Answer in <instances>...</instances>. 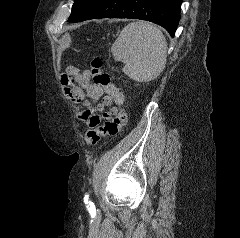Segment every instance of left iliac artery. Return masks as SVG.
I'll return each instance as SVG.
<instances>
[{"label":"left iliac artery","mask_w":240,"mask_h":238,"mask_svg":"<svg viewBox=\"0 0 240 238\" xmlns=\"http://www.w3.org/2000/svg\"><path fill=\"white\" fill-rule=\"evenodd\" d=\"M84 202H85V204L87 205V207H89V210L95 209V207L93 206V204H92L91 202H89V200H88V195H85Z\"/></svg>","instance_id":"obj_1"}]
</instances>
